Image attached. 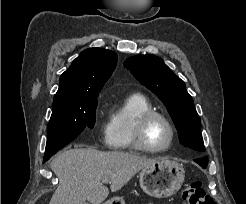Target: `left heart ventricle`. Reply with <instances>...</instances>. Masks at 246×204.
Segmentation results:
<instances>
[{
  "label": "left heart ventricle",
  "instance_id": "obj_1",
  "mask_svg": "<svg viewBox=\"0 0 246 204\" xmlns=\"http://www.w3.org/2000/svg\"><path fill=\"white\" fill-rule=\"evenodd\" d=\"M169 139L170 130L166 123L159 118L152 119L146 128V143L153 148H162L167 145Z\"/></svg>",
  "mask_w": 246,
  "mask_h": 204
}]
</instances>
